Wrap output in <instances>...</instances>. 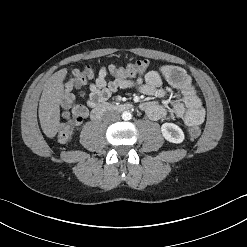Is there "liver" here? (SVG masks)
Here are the masks:
<instances>
[{
    "label": "liver",
    "instance_id": "6515ba94",
    "mask_svg": "<svg viewBox=\"0 0 247 247\" xmlns=\"http://www.w3.org/2000/svg\"><path fill=\"white\" fill-rule=\"evenodd\" d=\"M67 69H61L54 73L45 83L39 101V120L44 134L53 138L58 132L60 123V103L64 96L63 81Z\"/></svg>",
    "mask_w": 247,
    "mask_h": 247
}]
</instances>
